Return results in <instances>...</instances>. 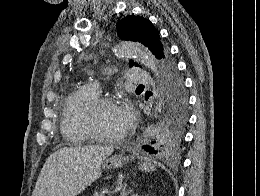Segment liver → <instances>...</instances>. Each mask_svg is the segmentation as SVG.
<instances>
[{
    "mask_svg": "<svg viewBox=\"0 0 260 196\" xmlns=\"http://www.w3.org/2000/svg\"><path fill=\"white\" fill-rule=\"evenodd\" d=\"M113 146H72L60 148L47 158L32 196H78L101 178L104 160Z\"/></svg>",
    "mask_w": 260,
    "mask_h": 196,
    "instance_id": "6515ba94",
    "label": "liver"
}]
</instances>
